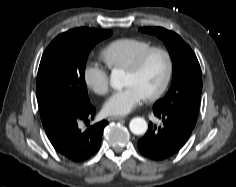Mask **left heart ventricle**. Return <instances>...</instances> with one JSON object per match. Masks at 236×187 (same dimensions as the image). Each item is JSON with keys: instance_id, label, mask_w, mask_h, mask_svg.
I'll list each match as a JSON object with an SVG mask.
<instances>
[{"instance_id": "left-heart-ventricle-1", "label": "left heart ventricle", "mask_w": 236, "mask_h": 187, "mask_svg": "<svg viewBox=\"0 0 236 187\" xmlns=\"http://www.w3.org/2000/svg\"><path fill=\"white\" fill-rule=\"evenodd\" d=\"M166 73V61L161 54L152 55L142 70L137 74L126 72L125 86H136L143 95L157 90L164 80Z\"/></svg>"}]
</instances>
